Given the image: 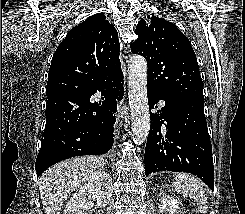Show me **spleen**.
Returning <instances> with one entry per match:
<instances>
[{"label":"spleen","mask_w":245,"mask_h":214,"mask_svg":"<svg viewBox=\"0 0 245 214\" xmlns=\"http://www.w3.org/2000/svg\"><path fill=\"white\" fill-rule=\"evenodd\" d=\"M174 180L173 186L175 191L183 197L193 199L197 204L199 212L206 214L208 200L202 182L194 175L187 173H178L174 177Z\"/></svg>","instance_id":"spleen-1"}]
</instances>
